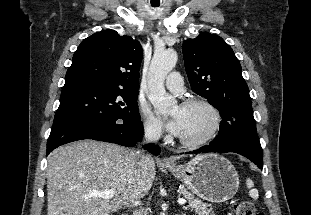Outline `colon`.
Returning <instances> with one entry per match:
<instances>
[{"label":"colon","instance_id":"5ec220e1","mask_svg":"<svg viewBox=\"0 0 311 215\" xmlns=\"http://www.w3.org/2000/svg\"><path fill=\"white\" fill-rule=\"evenodd\" d=\"M235 215H264V213L257 212L255 206L250 201H240L234 205Z\"/></svg>","mask_w":311,"mask_h":215}]
</instances>
